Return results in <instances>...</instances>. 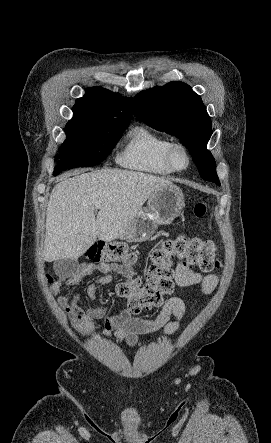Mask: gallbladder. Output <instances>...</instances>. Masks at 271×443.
Returning <instances> with one entry per match:
<instances>
[{"instance_id": "bac80fb5", "label": "gallbladder", "mask_w": 271, "mask_h": 443, "mask_svg": "<svg viewBox=\"0 0 271 443\" xmlns=\"http://www.w3.org/2000/svg\"><path fill=\"white\" fill-rule=\"evenodd\" d=\"M80 260L58 259L54 261V271L60 278H69L71 273H75L76 269H80Z\"/></svg>"}]
</instances>
